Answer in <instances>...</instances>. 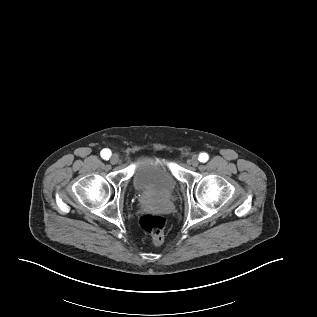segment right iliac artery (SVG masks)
I'll return each mask as SVG.
<instances>
[{
    "instance_id": "right-iliac-artery-1",
    "label": "right iliac artery",
    "mask_w": 317,
    "mask_h": 317,
    "mask_svg": "<svg viewBox=\"0 0 317 317\" xmlns=\"http://www.w3.org/2000/svg\"><path fill=\"white\" fill-rule=\"evenodd\" d=\"M100 154L103 159L108 160L111 156V151L109 149H103Z\"/></svg>"
}]
</instances>
